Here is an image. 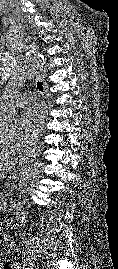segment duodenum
I'll return each instance as SVG.
<instances>
[{
	"label": "duodenum",
	"mask_w": 118,
	"mask_h": 269,
	"mask_svg": "<svg viewBox=\"0 0 118 269\" xmlns=\"http://www.w3.org/2000/svg\"><path fill=\"white\" fill-rule=\"evenodd\" d=\"M16 219L19 225H25L27 222V215L24 212L19 211L17 212Z\"/></svg>",
	"instance_id": "1"
}]
</instances>
